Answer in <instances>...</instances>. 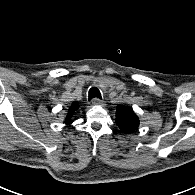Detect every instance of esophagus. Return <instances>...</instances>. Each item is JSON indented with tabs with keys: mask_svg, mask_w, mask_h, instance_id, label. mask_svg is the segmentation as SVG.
I'll use <instances>...</instances> for the list:
<instances>
[{
	"mask_svg": "<svg viewBox=\"0 0 195 195\" xmlns=\"http://www.w3.org/2000/svg\"><path fill=\"white\" fill-rule=\"evenodd\" d=\"M92 104L97 105V106H102V105H104V102L102 100L98 99V98H94L92 100Z\"/></svg>",
	"mask_w": 195,
	"mask_h": 195,
	"instance_id": "1",
	"label": "esophagus"
}]
</instances>
